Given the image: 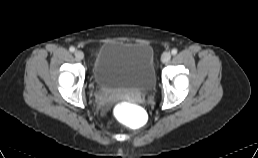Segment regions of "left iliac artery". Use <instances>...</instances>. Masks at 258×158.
I'll return each instance as SVG.
<instances>
[{
  "mask_svg": "<svg viewBox=\"0 0 258 158\" xmlns=\"http://www.w3.org/2000/svg\"><path fill=\"white\" fill-rule=\"evenodd\" d=\"M171 54H172V55H176V54H177V49H175V48L172 49Z\"/></svg>",
  "mask_w": 258,
  "mask_h": 158,
  "instance_id": "1",
  "label": "left iliac artery"
}]
</instances>
